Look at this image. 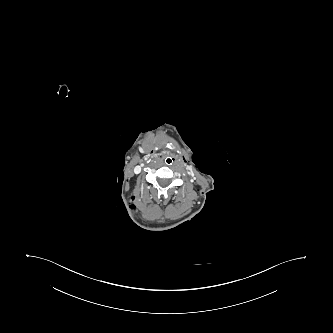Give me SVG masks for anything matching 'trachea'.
Returning <instances> with one entry per match:
<instances>
[{
  "label": "trachea",
  "instance_id": "3493384b",
  "mask_svg": "<svg viewBox=\"0 0 333 333\" xmlns=\"http://www.w3.org/2000/svg\"><path fill=\"white\" fill-rule=\"evenodd\" d=\"M161 162L164 166L169 167V166L173 165L174 158H173V156L166 154L162 157Z\"/></svg>",
  "mask_w": 333,
  "mask_h": 333
}]
</instances>
